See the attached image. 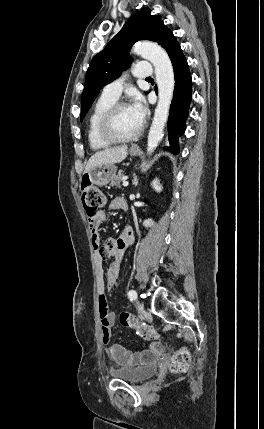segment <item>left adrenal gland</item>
<instances>
[{
    "label": "left adrenal gland",
    "instance_id": "left-adrenal-gland-1",
    "mask_svg": "<svg viewBox=\"0 0 264 429\" xmlns=\"http://www.w3.org/2000/svg\"><path fill=\"white\" fill-rule=\"evenodd\" d=\"M133 185L136 187L138 185V179L136 177V175H133Z\"/></svg>",
    "mask_w": 264,
    "mask_h": 429
}]
</instances>
